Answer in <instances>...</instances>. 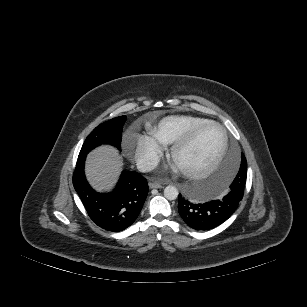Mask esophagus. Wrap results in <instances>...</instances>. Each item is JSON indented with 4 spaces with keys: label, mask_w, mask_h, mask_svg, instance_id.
I'll return each instance as SVG.
<instances>
[{
    "label": "esophagus",
    "mask_w": 307,
    "mask_h": 307,
    "mask_svg": "<svg viewBox=\"0 0 307 307\" xmlns=\"http://www.w3.org/2000/svg\"><path fill=\"white\" fill-rule=\"evenodd\" d=\"M149 187L152 188V189L153 188H161L162 185L158 182H149Z\"/></svg>",
    "instance_id": "1"
}]
</instances>
